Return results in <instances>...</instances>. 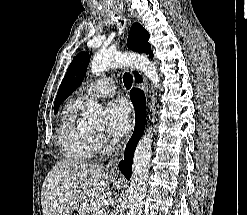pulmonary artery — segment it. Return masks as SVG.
<instances>
[{"label":"pulmonary artery","instance_id":"e3ab8cb5","mask_svg":"<svg viewBox=\"0 0 247 215\" xmlns=\"http://www.w3.org/2000/svg\"><path fill=\"white\" fill-rule=\"evenodd\" d=\"M116 86L110 77L98 79L84 88V93L78 102L82 103L88 96L92 98H105L115 94Z\"/></svg>","mask_w":247,"mask_h":215}]
</instances>
